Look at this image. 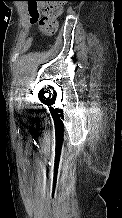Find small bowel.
<instances>
[{"instance_id": "obj_1", "label": "small bowel", "mask_w": 122, "mask_h": 218, "mask_svg": "<svg viewBox=\"0 0 122 218\" xmlns=\"http://www.w3.org/2000/svg\"><path fill=\"white\" fill-rule=\"evenodd\" d=\"M36 8H37L38 11H40L41 5H40V4H37Z\"/></svg>"}]
</instances>
